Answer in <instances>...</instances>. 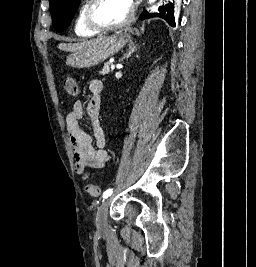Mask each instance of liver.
Wrapping results in <instances>:
<instances>
[{"instance_id": "obj_1", "label": "liver", "mask_w": 256, "mask_h": 267, "mask_svg": "<svg viewBox=\"0 0 256 267\" xmlns=\"http://www.w3.org/2000/svg\"><path fill=\"white\" fill-rule=\"evenodd\" d=\"M104 36L101 38H96V40H86V42H80V44H59V50H65V52H82L85 50L86 46L89 44H99L103 40Z\"/></svg>"}]
</instances>
